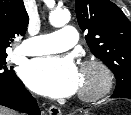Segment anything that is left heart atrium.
Here are the masks:
<instances>
[{"label":"left heart atrium","mask_w":131,"mask_h":115,"mask_svg":"<svg viewBox=\"0 0 131 115\" xmlns=\"http://www.w3.org/2000/svg\"><path fill=\"white\" fill-rule=\"evenodd\" d=\"M21 77L33 91L54 98L75 94L80 86V72L69 57L46 56L28 61Z\"/></svg>","instance_id":"1"}]
</instances>
